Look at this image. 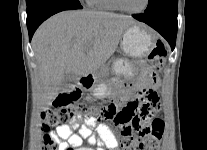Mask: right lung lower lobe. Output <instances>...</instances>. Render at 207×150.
Masks as SVG:
<instances>
[{"mask_svg": "<svg viewBox=\"0 0 207 150\" xmlns=\"http://www.w3.org/2000/svg\"><path fill=\"white\" fill-rule=\"evenodd\" d=\"M82 8L80 3L71 0H45L37 6L27 9V28L30 41L38 26L50 16L64 10Z\"/></svg>", "mask_w": 207, "mask_h": 150, "instance_id": "right-lung-lower-lobe-1", "label": "right lung lower lobe"}]
</instances>
